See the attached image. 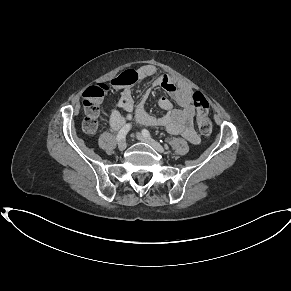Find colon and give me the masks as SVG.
Masks as SVG:
<instances>
[{
	"instance_id": "1",
	"label": "colon",
	"mask_w": 291,
	"mask_h": 291,
	"mask_svg": "<svg viewBox=\"0 0 291 291\" xmlns=\"http://www.w3.org/2000/svg\"><path fill=\"white\" fill-rule=\"evenodd\" d=\"M133 76L121 79L116 86L126 85L133 82ZM108 91V86L101 84L89 87L84 93V110L86 117L83 121V129L87 133H94L100 126V103ZM196 110V123L199 132L209 135L212 131V122L208 116L209 101L201 92H195L192 96Z\"/></svg>"
}]
</instances>
